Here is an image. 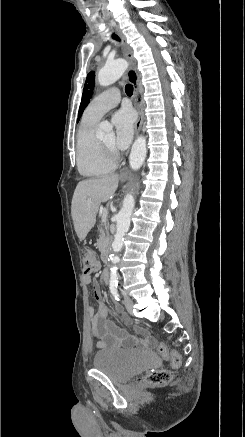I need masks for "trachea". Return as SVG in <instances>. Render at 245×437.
<instances>
[{"instance_id":"3493384b","label":"trachea","mask_w":245,"mask_h":437,"mask_svg":"<svg viewBox=\"0 0 245 437\" xmlns=\"http://www.w3.org/2000/svg\"><path fill=\"white\" fill-rule=\"evenodd\" d=\"M112 38L115 39V40H117V41H119L118 36L115 35V34L112 35ZM125 92H126V94H127L128 96H131V95L133 94V86H132L131 84H127V85L125 86Z\"/></svg>"}]
</instances>
